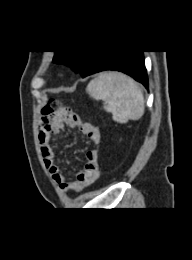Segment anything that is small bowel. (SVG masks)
<instances>
[{
  "label": "small bowel",
  "mask_w": 192,
  "mask_h": 260,
  "mask_svg": "<svg viewBox=\"0 0 192 260\" xmlns=\"http://www.w3.org/2000/svg\"><path fill=\"white\" fill-rule=\"evenodd\" d=\"M64 125L78 128L82 134L89 137L95 144L100 142V130L91 123L83 122L79 115L69 109L65 115L43 118L39 126V141L42 157L53 180L63 192L74 191L80 193L90 187L98 179V151L95 149L89 150L86 154L84 169L76 174L74 180H68L64 176L61 167L56 163V152L52 144L53 137L63 129Z\"/></svg>",
  "instance_id": "small-bowel-1"
}]
</instances>
